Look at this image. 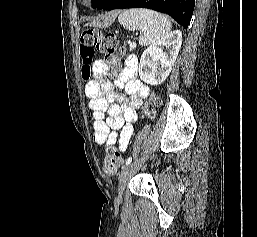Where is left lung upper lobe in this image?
Returning a JSON list of instances; mask_svg holds the SVG:
<instances>
[{"instance_id":"obj_1","label":"left lung upper lobe","mask_w":257,"mask_h":237,"mask_svg":"<svg viewBox=\"0 0 257 237\" xmlns=\"http://www.w3.org/2000/svg\"><path fill=\"white\" fill-rule=\"evenodd\" d=\"M109 0H93V8L102 9Z\"/></svg>"}]
</instances>
